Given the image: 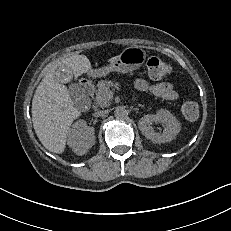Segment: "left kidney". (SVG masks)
Here are the masks:
<instances>
[{
  "label": "left kidney",
  "mask_w": 231,
  "mask_h": 231,
  "mask_svg": "<svg viewBox=\"0 0 231 231\" xmlns=\"http://www.w3.org/2000/svg\"><path fill=\"white\" fill-rule=\"evenodd\" d=\"M153 123H161L164 126L162 133H156ZM142 134L155 143L170 142L180 132V123L168 110L161 109L157 114L144 115L138 123Z\"/></svg>",
  "instance_id": "obj_1"
}]
</instances>
